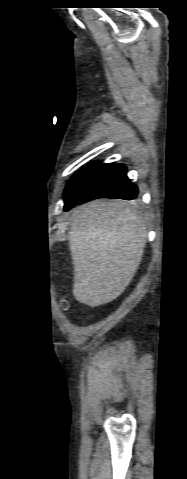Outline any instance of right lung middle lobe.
<instances>
[{
  "label": "right lung middle lobe",
  "mask_w": 187,
  "mask_h": 479,
  "mask_svg": "<svg viewBox=\"0 0 187 479\" xmlns=\"http://www.w3.org/2000/svg\"><path fill=\"white\" fill-rule=\"evenodd\" d=\"M98 164V161L92 162L89 165L85 166L78 172L74 174V176L69 180L65 192L76 182L78 181L85 173H87L90 169H92L95 165Z\"/></svg>",
  "instance_id": "dd1d6c3e"
}]
</instances>
